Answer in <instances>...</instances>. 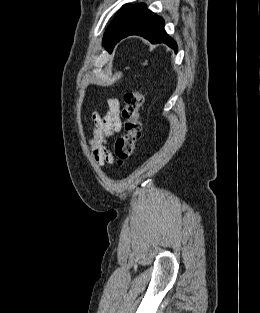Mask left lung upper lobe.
<instances>
[{
  "label": "left lung upper lobe",
  "mask_w": 260,
  "mask_h": 313,
  "mask_svg": "<svg viewBox=\"0 0 260 313\" xmlns=\"http://www.w3.org/2000/svg\"><path fill=\"white\" fill-rule=\"evenodd\" d=\"M146 10L145 4L138 5L125 4L115 15L114 20L106 30L103 37V44L106 50L112 51L115 44L123 33L137 20V18Z\"/></svg>",
  "instance_id": "5c2ea615"
}]
</instances>
